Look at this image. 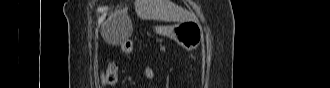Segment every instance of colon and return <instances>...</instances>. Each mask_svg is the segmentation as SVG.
Wrapping results in <instances>:
<instances>
[{
	"label": "colon",
	"mask_w": 330,
	"mask_h": 88,
	"mask_svg": "<svg viewBox=\"0 0 330 88\" xmlns=\"http://www.w3.org/2000/svg\"><path fill=\"white\" fill-rule=\"evenodd\" d=\"M121 46L125 50H132L133 49V42L131 40H125L121 43ZM118 79V71L117 67L114 64H109L103 72L102 75V83L105 86H113L117 82Z\"/></svg>",
	"instance_id": "5ec220e1"
}]
</instances>
